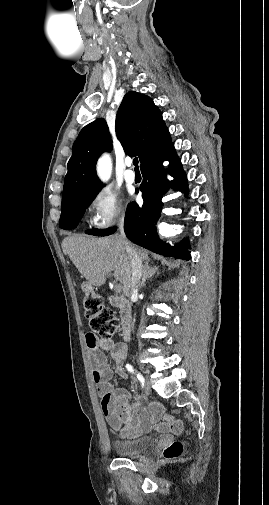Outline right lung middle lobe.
<instances>
[{
	"instance_id": "right-lung-middle-lobe-1",
	"label": "right lung middle lobe",
	"mask_w": 269,
	"mask_h": 505,
	"mask_svg": "<svg viewBox=\"0 0 269 505\" xmlns=\"http://www.w3.org/2000/svg\"><path fill=\"white\" fill-rule=\"evenodd\" d=\"M100 190L101 187L83 191L62 202L61 218L59 222L60 228L65 230L75 228L81 220L85 209ZM115 230V228L107 230L92 229L86 231V233L96 236H107L112 234Z\"/></svg>"
}]
</instances>
